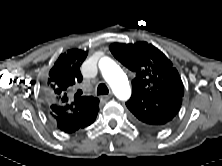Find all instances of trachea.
I'll use <instances>...</instances> for the list:
<instances>
[{"instance_id": "obj_1", "label": "trachea", "mask_w": 222, "mask_h": 166, "mask_svg": "<svg viewBox=\"0 0 222 166\" xmlns=\"http://www.w3.org/2000/svg\"><path fill=\"white\" fill-rule=\"evenodd\" d=\"M108 93H109L108 87L104 83L98 85L97 95H106Z\"/></svg>"}]
</instances>
